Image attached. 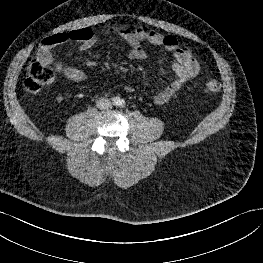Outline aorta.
Listing matches in <instances>:
<instances>
[{"label":"aorta","mask_w":263,"mask_h":263,"mask_svg":"<svg viewBox=\"0 0 263 263\" xmlns=\"http://www.w3.org/2000/svg\"><path fill=\"white\" fill-rule=\"evenodd\" d=\"M114 104L116 106H123L125 104V101L123 99L116 98L115 101H114Z\"/></svg>","instance_id":"1"}]
</instances>
